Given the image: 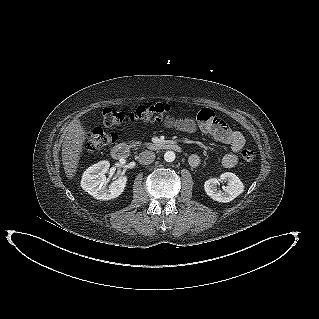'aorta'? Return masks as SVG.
Returning <instances> with one entry per match:
<instances>
[{
	"mask_svg": "<svg viewBox=\"0 0 319 319\" xmlns=\"http://www.w3.org/2000/svg\"><path fill=\"white\" fill-rule=\"evenodd\" d=\"M175 158H176V155L173 151H167L164 154V160L166 162H173L175 160Z\"/></svg>",
	"mask_w": 319,
	"mask_h": 319,
	"instance_id": "762f6f07",
	"label": "aorta"
}]
</instances>
